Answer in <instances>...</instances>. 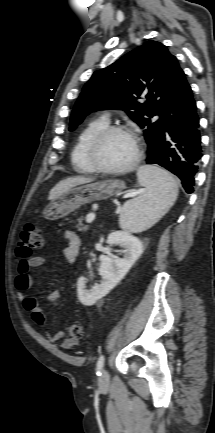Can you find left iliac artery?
Segmentation results:
<instances>
[{"mask_svg":"<svg viewBox=\"0 0 215 433\" xmlns=\"http://www.w3.org/2000/svg\"><path fill=\"white\" fill-rule=\"evenodd\" d=\"M104 361H105V357H104V355H100V357L98 358V361H97V365H96V370H97V375L98 376H100L101 375V369L103 368V366H104Z\"/></svg>","mask_w":215,"mask_h":433,"instance_id":"1","label":"left iliac artery"}]
</instances>
